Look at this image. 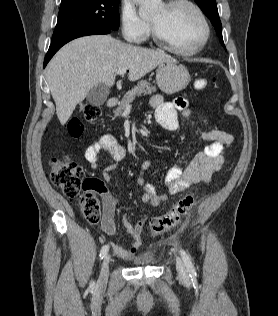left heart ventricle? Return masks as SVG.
<instances>
[{
	"mask_svg": "<svg viewBox=\"0 0 278 316\" xmlns=\"http://www.w3.org/2000/svg\"><path fill=\"white\" fill-rule=\"evenodd\" d=\"M151 22L177 46L192 49L204 36L203 25L195 11L186 5L171 10L162 5L152 16Z\"/></svg>",
	"mask_w": 278,
	"mask_h": 316,
	"instance_id": "1",
	"label": "left heart ventricle"
}]
</instances>
